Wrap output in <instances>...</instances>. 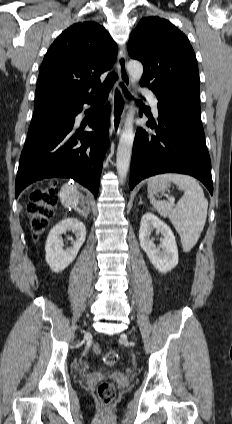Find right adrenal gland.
<instances>
[{
	"instance_id": "2a0ac1e0",
	"label": "right adrenal gland",
	"mask_w": 232,
	"mask_h": 424,
	"mask_svg": "<svg viewBox=\"0 0 232 424\" xmlns=\"http://www.w3.org/2000/svg\"><path fill=\"white\" fill-rule=\"evenodd\" d=\"M85 204H86V206L83 204L82 209L78 208L77 212H78L79 215H81L82 217L87 219V217L90 213V206H89V203L87 201L85 202Z\"/></svg>"
}]
</instances>
